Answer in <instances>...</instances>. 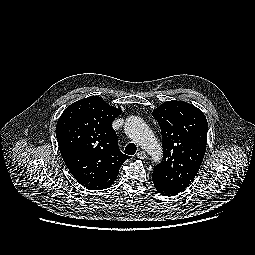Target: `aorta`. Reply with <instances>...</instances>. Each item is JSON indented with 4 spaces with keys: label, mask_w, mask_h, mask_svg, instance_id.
<instances>
[{
    "label": "aorta",
    "mask_w": 255,
    "mask_h": 255,
    "mask_svg": "<svg viewBox=\"0 0 255 255\" xmlns=\"http://www.w3.org/2000/svg\"><path fill=\"white\" fill-rule=\"evenodd\" d=\"M124 130L126 135L143 148L155 162L161 159V146L142 118L130 116L126 119Z\"/></svg>",
    "instance_id": "1"
}]
</instances>
